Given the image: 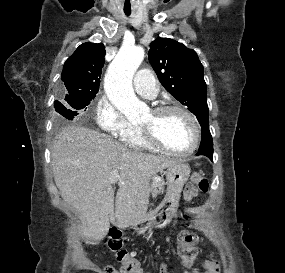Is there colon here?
<instances>
[{
	"instance_id": "obj_1",
	"label": "colon",
	"mask_w": 285,
	"mask_h": 273,
	"mask_svg": "<svg viewBox=\"0 0 285 273\" xmlns=\"http://www.w3.org/2000/svg\"><path fill=\"white\" fill-rule=\"evenodd\" d=\"M209 190V183L205 177L200 174H193L190 181L186 184L183 192V201L185 206H192V199L198 193H207ZM181 219L187 222L189 214L187 208L181 209ZM197 237L191 231H183L178 239V255L185 268H191L197 258ZM107 248L115 255L116 261L119 265L120 273H141L142 269L137 258L130 255L124 248L123 240L117 232H112L106 241ZM106 273H119V271L108 268Z\"/></svg>"
}]
</instances>
